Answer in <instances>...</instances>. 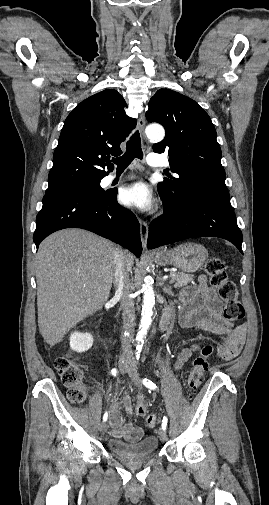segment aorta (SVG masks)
I'll list each match as a JSON object with an SVG mask.
<instances>
[{
  "mask_svg": "<svg viewBox=\"0 0 269 505\" xmlns=\"http://www.w3.org/2000/svg\"><path fill=\"white\" fill-rule=\"evenodd\" d=\"M146 136L150 140L161 141L165 136L164 128L160 125H149L147 126ZM143 291V304H142V314H141V324L140 331L138 332L137 340V350H141L144 338L147 335L149 327L152 323L153 309L155 305V293L153 289L152 278L147 276L144 279V284L142 285Z\"/></svg>",
  "mask_w": 269,
  "mask_h": 505,
  "instance_id": "1",
  "label": "aorta"
}]
</instances>
